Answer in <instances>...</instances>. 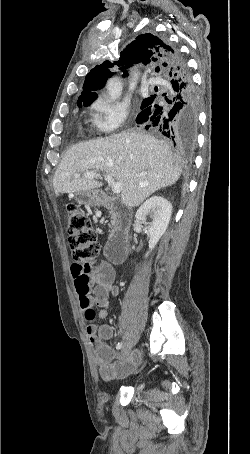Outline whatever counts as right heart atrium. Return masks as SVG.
<instances>
[{"label": "right heart atrium", "mask_w": 250, "mask_h": 454, "mask_svg": "<svg viewBox=\"0 0 250 454\" xmlns=\"http://www.w3.org/2000/svg\"><path fill=\"white\" fill-rule=\"evenodd\" d=\"M129 113L130 108L126 102H99L93 122L100 132L113 133L124 126Z\"/></svg>", "instance_id": "d8ad5b80"}]
</instances>
